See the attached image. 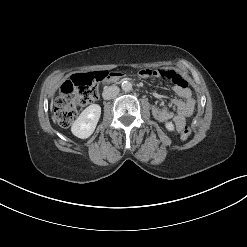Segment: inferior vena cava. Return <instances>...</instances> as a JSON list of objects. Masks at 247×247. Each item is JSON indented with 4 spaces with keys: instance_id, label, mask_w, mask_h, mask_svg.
I'll return each instance as SVG.
<instances>
[{
    "instance_id": "1",
    "label": "inferior vena cava",
    "mask_w": 247,
    "mask_h": 247,
    "mask_svg": "<svg viewBox=\"0 0 247 247\" xmlns=\"http://www.w3.org/2000/svg\"><path fill=\"white\" fill-rule=\"evenodd\" d=\"M119 93V88L117 86H105L102 97L105 100H110L114 98Z\"/></svg>"
}]
</instances>
